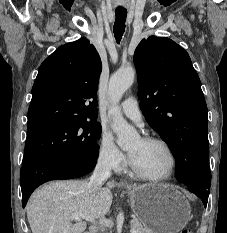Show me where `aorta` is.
Listing matches in <instances>:
<instances>
[{
    "instance_id": "762f6f07",
    "label": "aorta",
    "mask_w": 227,
    "mask_h": 233,
    "mask_svg": "<svg viewBox=\"0 0 227 233\" xmlns=\"http://www.w3.org/2000/svg\"><path fill=\"white\" fill-rule=\"evenodd\" d=\"M135 78L132 68L120 69L114 73L109 81V97L112 102L109 113L113 117L112 130L117 135V143L121 148H126L138 137V133L123 118L118 106L123 94L131 87Z\"/></svg>"
}]
</instances>
